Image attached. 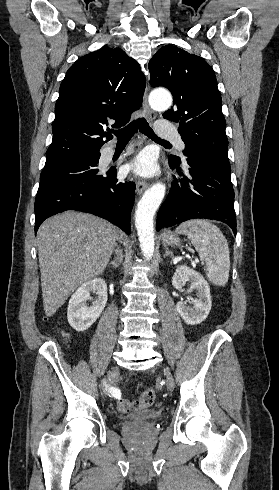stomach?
I'll return each instance as SVG.
<instances>
[{"label":"stomach","instance_id":"1","mask_svg":"<svg viewBox=\"0 0 279 490\" xmlns=\"http://www.w3.org/2000/svg\"><path fill=\"white\" fill-rule=\"evenodd\" d=\"M161 238L164 246H180V238H177L176 234L170 230H165L161 234Z\"/></svg>","mask_w":279,"mask_h":490}]
</instances>
